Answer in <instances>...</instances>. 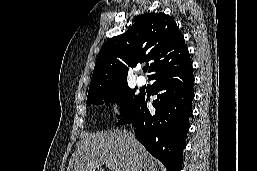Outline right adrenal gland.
<instances>
[{
  "label": "right adrenal gland",
  "mask_w": 257,
  "mask_h": 171,
  "mask_svg": "<svg viewBox=\"0 0 257 171\" xmlns=\"http://www.w3.org/2000/svg\"><path fill=\"white\" fill-rule=\"evenodd\" d=\"M152 171H158L157 168H154Z\"/></svg>",
  "instance_id": "1"
}]
</instances>
